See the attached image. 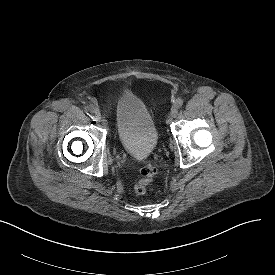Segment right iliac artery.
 <instances>
[{
	"mask_svg": "<svg viewBox=\"0 0 275 275\" xmlns=\"http://www.w3.org/2000/svg\"><path fill=\"white\" fill-rule=\"evenodd\" d=\"M87 110H88L89 112L93 113L94 110H95V106H94V105H89V106L87 107Z\"/></svg>",
	"mask_w": 275,
	"mask_h": 275,
	"instance_id": "obj_1",
	"label": "right iliac artery"
}]
</instances>
